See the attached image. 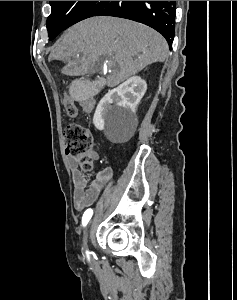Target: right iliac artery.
Instances as JSON below:
<instances>
[{
	"label": "right iliac artery",
	"instance_id": "82829eb1",
	"mask_svg": "<svg viewBox=\"0 0 237 300\" xmlns=\"http://www.w3.org/2000/svg\"><path fill=\"white\" fill-rule=\"evenodd\" d=\"M92 215H93V210L90 209V208L87 209V210L84 212L83 217H82V225H83V226H86V225H87V223H88L89 220L91 219ZM86 253H87V256H88L89 252H86ZM88 257H89V256H88Z\"/></svg>",
	"mask_w": 237,
	"mask_h": 300
}]
</instances>
